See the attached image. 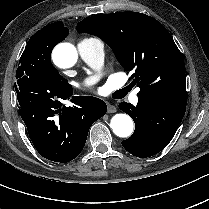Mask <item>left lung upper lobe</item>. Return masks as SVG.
<instances>
[{
	"instance_id": "1",
	"label": "left lung upper lobe",
	"mask_w": 209,
	"mask_h": 209,
	"mask_svg": "<svg viewBox=\"0 0 209 209\" xmlns=\"http://www.w3.org/2000/svg\"><path fill=\"white\" fill-rule=\"evenodd\" d=\"M79 33L103 39L125 71L132 72L138 97L186 106L185 64L172 36L156 19L137 12H116L83 19Z\"/></svg>"
}]
</instances>
